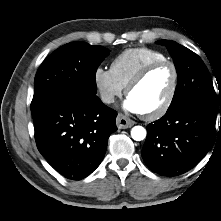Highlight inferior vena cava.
I'll list each match as a JSON object with an SVG mask.
<instances>
[{"instance_id": "inferior-vena-cava-1", "label": "inferior vena cava", "mask_w": 221, "mask_h": 221, "mask_svg": "<svg viewBox=\"0 0 221 221\" xmlns=\"http://www.w3.org/2000/svg\"><path fill=\"white\" fill-rule=\"evenodd\" d=\"M101 100L103 103L110 104L114 102V95L110 93H103L101 95Z\"/></svg>"}]
</instances>
